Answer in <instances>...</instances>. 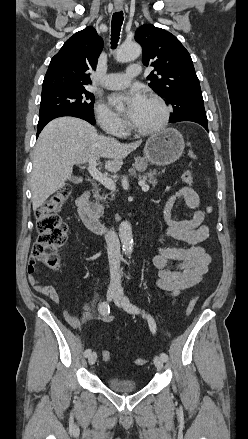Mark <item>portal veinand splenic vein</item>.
I'll return each mask as SVG.
<instances>
[{"instance_id":"18ae733b","label":"portal vein and splenic vein","mask_w":248,"mask_h":439,"mask_svg":"<svg viewBox=\"0 0 248 439\" xmlns=\"http://www.w3.org/2000/svg\"><path fill=\"white\" fill-rule=\"evenodd\" d=\"M96 162L94 160H90L89 161V165H88V172L89 174L98 182H100L102 185H104L107 189L111 190V191H115L116 190V184L115 182L107 177L106 175L102 174L97 168H96ZM139 185L142 188V191L147 192L149 190V186L145 184L144 181H140Z\"/></svg>"}]
</instances>
